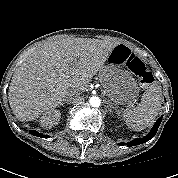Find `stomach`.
Wrapping results in <instances>:
<instances>
[{"label":"stomach","mask_w":178,"mask_h":178,"mask_svg":"<svg viewBox=\"0 0 178 178\" xmlns=\"http://www.w3.org/2000/svg\"><path fill=\"white\" fill-rule=\"evenodd\" d=\"M115 48L107 58L106 65L99 71V79L115 105L130 106L139 96L140 88L131 72L125 69L128 58L124 55L116 56Z\"/></svg>","instance_id":"stomach-1"}]
</instances>
